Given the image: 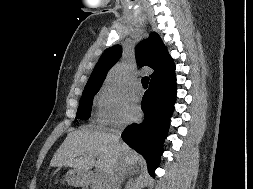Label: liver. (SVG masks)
Here are the masks:
<instances>
[{
  "instance_id": "6515ba94",
  "label": "liver",
  "mask_w": 253,
  "mask_h": 189,
  "mask_svg": "<svg viewBox=\"0 0 253 189\" xmlns=\"http://www.w3.org/2000/svg\"><path fill=\"white\" fill-rule=\"evenodd\" d=\"M141 160V156L126 143L115 141L113 134L83 128L67 135L50 166L85 172L95 166L106 177L119 161L133 166Z\"/></svg>"
}]
</instances>
